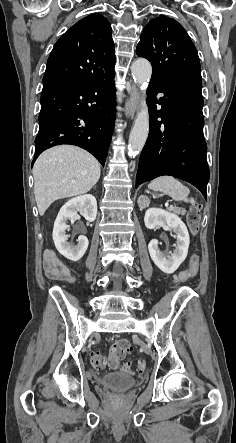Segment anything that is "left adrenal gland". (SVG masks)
I'll use <instances>...</instances> for the list:
<instances>
[{
  "mask_svg": "<svg viewBox=\"0 0 236 443\" xmlns=\"http://www.w3.org/2000/svg\"><path fill=\"white\" fill-rule=\"evenodd\" d=\"M138 205H139V207H141V208H142V205H141L140 201H138Z\"/></svg>",
  "mask_w": 236,
  "mask_h": 443,
  "instance_id": "left-adrenal-gland-1",
  "label": "left adrenal gland"
}]
</instances>
